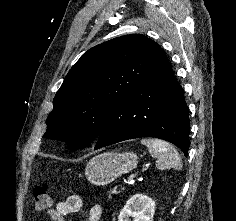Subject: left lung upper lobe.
I'll list each match as a JSON object with an SVG mask.
<instances>
[{
	"mask_svg": "<svg viewBox=\"0 0 236 221\" xmlns=\"http://www.w3.org/2000/svg\"><path fill=\"white\" fill-rule=\"evenodd\" d=\"M163 53L156 42L141 34L117 37L89 49L56 93L44 136L62 140L74 151L88 145Z\"/></svg>",
	"mask_w": 236,
	"mask_h": 221,
	"instance_id": "left-lung-upper-lobe-1",
	"label": "left lung upper lobe"
}]
</instances>
